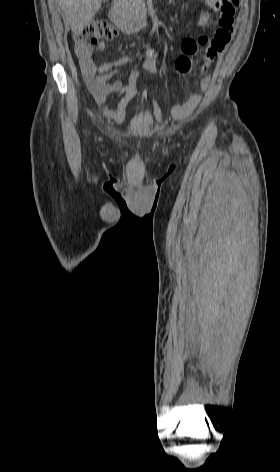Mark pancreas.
<instances>
[{"label":"pancreas","instance_id":"1","mask_svg":"<svg viewBox=\"0 0 280 472\" xmlns=\"http://www.w3.org/2000/svg\"><path fill=\"white\" fill-rule=\"evenodd\" d=\"M117 1H119V2H129L131 0H117Z\"/></svg>","mask_w":280,"mask_h":472}]
</instances>
